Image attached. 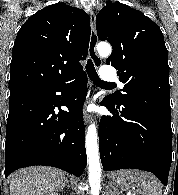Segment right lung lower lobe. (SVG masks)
I'll return each instance as SVG.
<instances>
[{"label": "right lung lower lobe", "mask_w": 178, "mask_h": 195, "mask_svg": "<svg viewBox=\"0 0 178 195\" xmlns=\"http://www.w3.org/2000/svg\"><path fill=\"white\" fill-rule=\"evenodd\" d=\"M86 88L87 75L82 71L73 85L62 83L10 94L6 177L21 167L33 165L57 167L76 176L83 173L87 164L82 115ZM62 105L69 111L60 110Z\"/></svg>", "instance_id": "obj_1"}]
</instances>
